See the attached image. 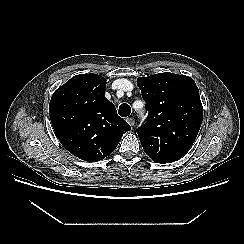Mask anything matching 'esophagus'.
I'll return each mask as SVG.
<instances>
[{"label":"esophagus","mask_w":244,"mask_h":244,"mask_svg":"<svg viewBox=\"0 0 244 244\" xmlns=\"http://www.w3.org/2000/svg\"><path fill=\"white\" fill-rule=\"evenodd\" d=\"M126 121L128 122V124L130 126H134V124H135V120L133 118H131V117L130 118H127Z\"/></svg>","instance_id":"1"}]
</instances>
